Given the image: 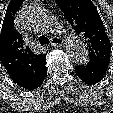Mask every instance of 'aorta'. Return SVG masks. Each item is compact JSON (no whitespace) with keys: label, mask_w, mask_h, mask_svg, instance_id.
Segmentation results:
<instances>
[{"label":"aorta","mask_w":113,"mask_h":113,"mask_svg":"<svg viewBox=\"0 0 113 113\" xmlns=\"http://www.w3.org/2000/svg\"><path fill=\"white\" fill-rule=\"evenodd\" d=\"M40 15L41 17H43L49 29L55 31V28H58L59 23H57L56 19L54 18V16H52V14L41 10ZM67 38L68 39L66 43V51L71 61L78 65L86 64L89 60L86 45L74 33H68Z\"/></svg>","instance_id":"aorta-1"}]
</instances>
